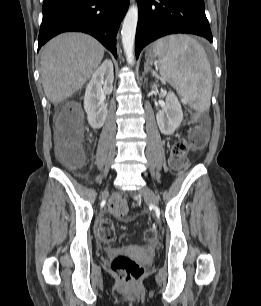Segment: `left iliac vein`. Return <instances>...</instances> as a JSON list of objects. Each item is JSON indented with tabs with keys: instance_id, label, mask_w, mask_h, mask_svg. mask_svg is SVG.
Instances as JSON below:
<instances>
[{
	"instance_id": "1",
	"label": "left iliac vein",
	"mask_w": 261,
	"mask_h": 306,
	"mask_svg": "<svg viewBox=\"0 0 261 306\" xmlns=\"http://www.w3.org/2000/svg\"><path fill=\"white\" fill-rule=\"evenodd\" d=\"M140 193L144 197L145 200L153 204H158L159 202L158 196L147 185L143 186L140 189Z\"/></svg>"
}]
</instances>
